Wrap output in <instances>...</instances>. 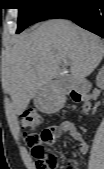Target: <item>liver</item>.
<instances>
[{"instance_id": "obj_1", "label": "liver", "mask_w": 104, "mask_h": 169, "mask_svg": "<svg viewBox=\"0 0 104 169\" xmlns=\"http://www.w3.org/2000/svg\"><path fill=\"white\" fill-rule=\"evenodd\" d=\"M104 43L97 35L63 19L48 20L19 35L2 71L14 112L21 115L30 100L59 72L67 61L76 80H83L99 65Z\"/></svg>"}]
</instances>
